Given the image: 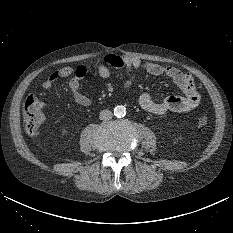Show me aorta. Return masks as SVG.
Instances as JSON below:
<instances>
[{
    "label": "aorta",
    "instance_id": "aorta-1",
    "mask_svg": "<svg viewBox=\"0 0 233 233\" xmlns=\"http://www.w3.org/2000/svg\"><path fill=\"white\" fill-rule=\"evenodd\" d=\"M114 115L118 118L124 117L126 115V108L124 106H116L114 108Z\"/></svg>",
    "mask_w": 233,
    "mask_h": 233
}]
</instances>
